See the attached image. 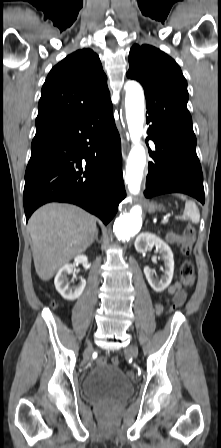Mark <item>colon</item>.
Masks as SVG:
<instances>
[{
    "label": "colon",
    "instance_id": "1",
    "mask_svg": "<svg viewBox=\"0 0 221 448\" xmlns=\"http://www.w3.org/2000/svg\"><path fill=\"white\" fill-rule=\"evenodd\" d=\"M194 238H195V230L192 226H188L184 230L183 235H182V253L185 256H190V254L192 252V245L194 242ZM193 275H194V264L190 259H187L183 262V264L181 266V284L183 287H186L190 284ZM180 306H181V302L178 299H175L170 306V310L175 311ZM97 363L99 365H105L106 359L99 358ZM119 363H120V360L118 357L112 358L113 365L118 366ZM127 375L129 377H131L132 372L128 371Z\"/></svg>",
    "mask_w": 221,
    "mask_h": 448
}]
</instances>
